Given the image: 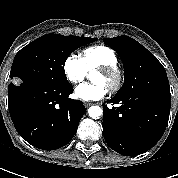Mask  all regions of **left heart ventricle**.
<instances>
[{"label":"left heart ventricle","instance_id":"left-heart-ventricle-1","mask_svg":"<svg viewBox=\"0 0 178 178\" xmlns=\"http://www.w3.org/2000/svg\"><path fill=\"white\" fill-rule=\"evenodd\" d=\"M92 80H93L94 83H103L108 88L111 85V80L109 79V77H107L106 75H104L103 73H100V72H96L93 75Z\"/></svg>","mask_w":178,"mask_h":178}]
</instances>
